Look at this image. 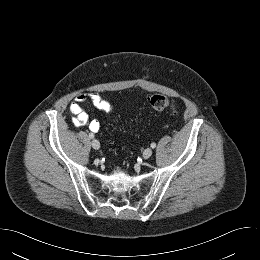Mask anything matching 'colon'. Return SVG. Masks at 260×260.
Masks as SVG:
<instances>
[{"instance_id": "obj_1", "label": "colon", "mask_w": 260, "mask_h": 260, "mask_svg": "<svg viewBox=\"0 0 260 260\" xmlns=\"http://www.w3.org/2000/svg\"><path fill=\"white\" fill-rule=\"evenodd\" d=\"M149 103L150 106L155 111H164V110L175 111L177 109V104L173 99L161 94L153 95L150 98Z\"/></svg>"}]
</instances>
